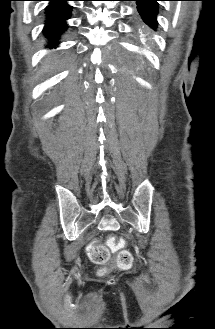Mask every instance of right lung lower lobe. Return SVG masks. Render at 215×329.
Masks as SVG:
<instances>
[{
	"label": "right lung lower lobe",
	"mask_w": 215,
	"mask_h": 329,
	"mask_svg": "<svg viewBox=\"0 0 215 329\" xmlns=\"http://www.w3.org/2000/svg\"><path fill=\"white\" fill-rule=\"evenodd\" d=\"M49 5L45 8L44 36L51 45L59 44L57 40L68 28L67 20L71 17L72 6L67 2L72 0H47Z\"/></svg>",
	"instance_id": "right-lung-lower-lobe-1"
}]
</instances>
